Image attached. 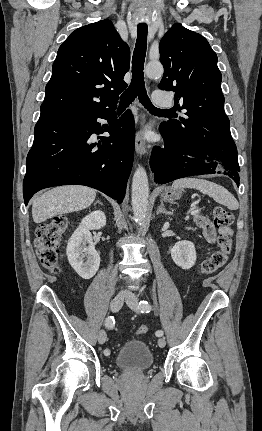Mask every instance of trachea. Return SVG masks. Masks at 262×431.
Returning a JSON list of instances; mask_svg holds the SVG:
<instances>
[{
	"label": "trachea",
	"mask_w": 262,
	"mask_h": 431,
	"mask_svg": "<svg viewBox=\"0 0 262 431\" xmlns=\"http://www.w3.org/2000/svg\"><path fill=\"white\" fill-rule=\"evenodd\" d=\"M148 27L137 26V40L132 57V81L120 97L119 110L126 109L138 96L140 103L151 113L171 114L170 110L156 108L150 101L144 84V62L147 49Z\"/></svg>",
	"instance_id": "obj_1"
}]
</instances>
